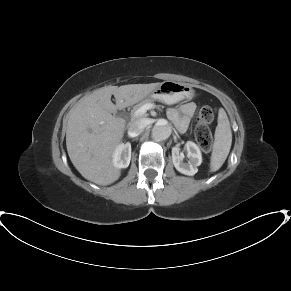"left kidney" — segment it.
Returning a JSON list of instances; mask_svg holds the SVG:
<instances>
[{
  "instance_id": "left-kidney-1",
  "label": "left kidney",
  "mask_w": 291,
  "mask_h": 291,
  "mask_svg": "<svg viewBox=\"0 0 291 291\" xmlns=\"http://www.w3.org/2000/svg\"><path fill=\"white\" fill-rule=\"evenodd\" d=\"M187 157L189 161L183 162L184 154L180 152V148L175 146L172 148V161L177 171L182 174L193 176L198 171V166L202 163V155L199 147L192 141L185 144Z\"/></svg>"
}]
</instances>
